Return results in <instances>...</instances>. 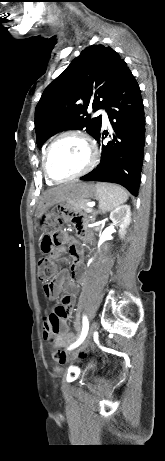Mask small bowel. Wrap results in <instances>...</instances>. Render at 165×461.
<instances>
[{"label":"small bowel","instance_id":"c3829d8e","mask_svg":"<svg viewBox=\"0 0 165 461\" xmlns=\"http://www.w3.org/2000/svg\"><path fill=\"white\" fill-rule=\"evenodd\" d=\"M53 217H69L70 222L76 227L79 236L90 239L85 232L84 220L77 209H71L70 204H58L56 209L51 210ZM64 248H57L51 252V258L54 260L63 259ZM70 254L74 259L70 272L61 270L55 274L52 281L43 285V291L50 300L64 291L60 304L55 307L54 311L47 314L43 319V336L46 340H72L76 341V335L68 331L67 321L71 318L75 305L78 286L76 281L81 276L82 252L78 243L71 241ZM53 357L57 361H64L65 354H59L58 348L54 351Z\"/></svg>","mask_w":165,"mask_h":461}]
</instances>
